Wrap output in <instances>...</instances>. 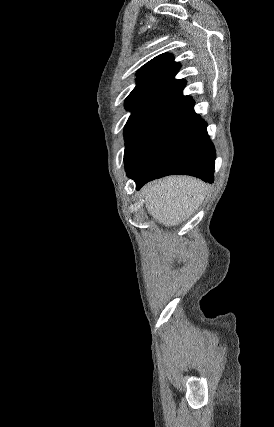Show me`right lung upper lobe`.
I'll list each match as a JSON object with an SVG mask.
<instances>
[{
	"label": "right lung upper lobe",
	"instance_id": "1",
	"mask_svg": "<svg viewBox=\"0 0 274 427\" xmlns=\"http://www.w3.org/2000/svg\"><path fill=\"white\" fill-rule=\"evenodd\" d=\"M179 68L180 64L174 62V57L169 53L150 60L138 70L137 85L127 97L125 106L151 101L174 106L190 99V96L182 95L186 82L174 79Z\"/></svg>",
	"mask_w": 274,
	"mask_h": 427
}]
</instances>
